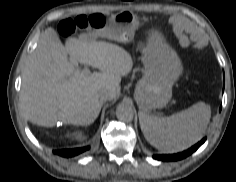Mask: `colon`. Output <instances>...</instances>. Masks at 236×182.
<instances>
[{"mask_svg": "<svg viewBox=\"0 0 236 182\" xmlns=\"http://www.w3.org/2000/svg\"><path fill=\"white\" fill-rule=\"evenodd\" d=\"M106 20L102 14L79 15L75 18L65 19L59 24L61 35L68 37L76 31L87 28H101L105 25Z\"/></svg>", "mask_w": 236, "mask_h": 182, "instance_id": "5ec220e1", "label": "colon"}]
</instances>
